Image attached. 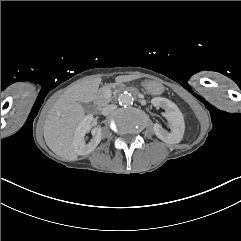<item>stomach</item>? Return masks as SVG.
I'll return each mask as SVG.
<instances>
[{
  "instance_id": "1",
  "label": "stomach",
  "mask_w": 241,
  "mask_h": 241,
  "mask_svg": "<svg viewBox=\"0 0 241 241\" xmlns=\"http://www.w3.org/2000/svg\"><path fill=\"white\" fill-rule=\"evenodd\" d=\"M144 87L150 94L154 95H159L164 91V86L158 81H145Z\"/></svg>"
}]
</instances>
